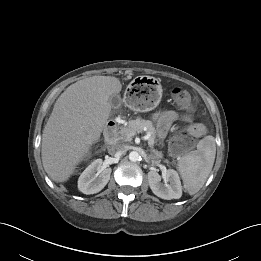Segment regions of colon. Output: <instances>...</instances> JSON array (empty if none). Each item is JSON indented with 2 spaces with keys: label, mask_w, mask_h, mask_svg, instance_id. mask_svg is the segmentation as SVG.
<instances>
[{
  "label": "colon",
  "mask_w": 261,
  "mask_h": 261,
  "mask_svg": "<svg viewBox=\"0 0 261 261\" xmlns=\"http://www.w3.org/2000/svg\"><path fill=\"white\" fill-rule=\"evenodd\" d=\"M175 102L186 110H192L195 106V99L192 94L185 88L175 87L172 90ZM193 128L179 130L171 139L170 150L173 154H182L192 148L194 140L191 136Z\"/></svg>",
  "instance_id": "colon-1"
}]
</instances>
